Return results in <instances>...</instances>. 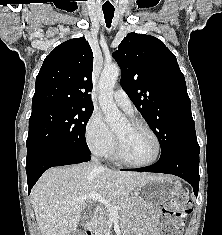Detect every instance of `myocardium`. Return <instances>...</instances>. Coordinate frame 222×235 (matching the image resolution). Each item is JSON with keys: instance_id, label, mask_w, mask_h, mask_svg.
I'll use <instances>...</instances> for the list:
<instances>
[{"instance_id": "obj_1", "label": "myocardium", "mask_w": 222, "mask_h": 235, "mask_svg": "<svg viewBox=\"0 0 222 235\" xmlns=\"http://www.w3.org/2000/svg\"><path fill=\"white\" fill-rule=\"evenodd\" d=\"M127 121L131 127L144 129L148 133H150L156 141L157 151H156L155 156L147 162H142V163L134 162V161L130 160L125 155L123 148H122L121 141H120L119 137L116 135V142H115V156H116V158L120 162H122L128 166H131V167L142 168V167H147V166L153 165L154 163H156L159 160V158L161 157V154H162V142L160 140V137L149 125H147L146 123H144L141 120H138L135 118H130Z\"/></svg>"}]
</instances>
